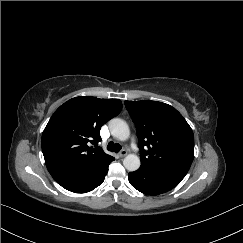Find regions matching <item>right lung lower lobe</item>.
Segmentation results:
<instances>
[{"label":"right lung lower lobe","mask_w":243,"mask_h":243,"mask_svg":"<svg viewBox=\"0 0 243 243\" xmlns=\"http://www.w3.org/2000/svg\"><path fill=\"white\" fill-rule=\"evenodd\" d=\"M113 160V157L108 156L87 170L59 178L56 182L71 192L86 193L92 191L102 184L108 172V166Z\"/></svg>","instance_id":"right-lung-lower-lobe-1"}]
</instances>
